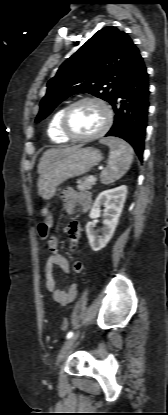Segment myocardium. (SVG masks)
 <instances>
[{"instance_id": "1", "label": "myocardium", "mask_w": 168, "mask_h": 415, "mask_svg": "<svg viewBox=\"0 0 168 415\" xmlns=\"http://www.w3.org/2000/svg\"><path fill=\"white\" fill-rule=\"evenodd\" d=\"M85 102H94V103L99 104L105 112V122H104L102 128L99 131H97L96 133L91 134V135H87V136H79V135L74 134L70 130V128H69V116H70L72 110L76 106H78L82 103H85ZM112 121H113L112 110H111L110 106L105 101H103L102 99H100L98 97H93V96L83 97V98H80V99L72 102L71 104H69L64 109L61 120H60V129H61L62 133L64 134V136H66L69 140L78 141V142L92 141V140L98 139V138L102 137L103 135H105L107 133V131L110 129V127L112 125Z\"/></svg>"}]
</instances>
